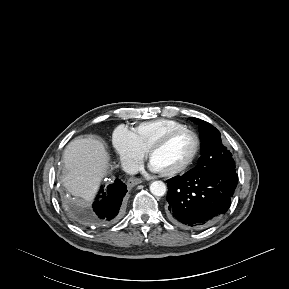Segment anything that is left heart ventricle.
<instances>
[{
  "mask_svg": "<svg viewBox=\"0 0 289 289\" xmlns=\"http://www.w3.org/2000/svg\"><path fill=\"white\" fill-rule=\"evenodd\" d=\"M194 145L195 141L191 134L177 135L152 156L150 165L158 172L173 170L188 160L193 152Z\"/></svg>",
  "mask_w": 289,
  "mask_h": 289,
  "instance_id": "1",
  "label": "left heart ventricle"
}]
</instances>
